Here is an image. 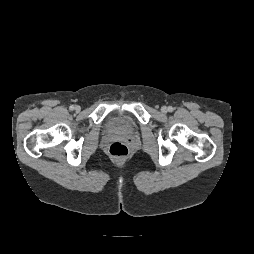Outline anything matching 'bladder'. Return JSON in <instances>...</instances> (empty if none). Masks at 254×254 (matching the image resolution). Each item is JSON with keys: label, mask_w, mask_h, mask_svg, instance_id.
Listing matches in <instances>:
<instances>
[{"label": "bladder", "mask_w": 254, "mask_h": 254, "mask_svg": "<svg viewBox=\"0 0 254 254\" xmlns=\"http://www.w3.org/2000/svg\"><path fill=\"white\" fill-rule=\"evenodd\" d=\"M108 130L114 134L132 136L137 131L135 122L125 116H114L110 118L107 124Z\"/></svg>", "instance_id": "bladder-1"}]
</instances>
